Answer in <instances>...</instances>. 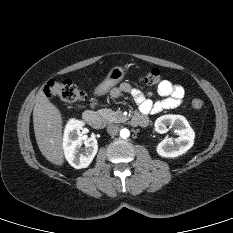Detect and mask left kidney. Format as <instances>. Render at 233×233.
<instances>
[{
    "instance_id": "left-kidney-1",
    "label": "left kidney",
    "mask_w": 233,
    "mask_h": 233,
    "mask_svg": "<svg viewBox=\"0 0 233 233\" xmlns=\"http://www.w3.org/2000/svg\"><path fill=\"white\" fill-rule=\"evenodd\" d=\"M173 128L178 138H165L156 147L161 157L174 158L186 153L194 144L195 132L182 115H164L155 121V130L166 133Z\"/></svg>"
}]
</instances>
